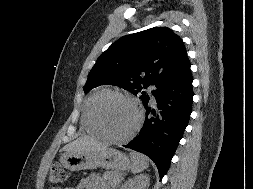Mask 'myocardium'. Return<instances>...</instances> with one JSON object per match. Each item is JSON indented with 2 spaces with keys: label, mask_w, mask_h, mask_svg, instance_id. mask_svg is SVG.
Segmentation results:
<instances>
[{
  "label": "myocardium",
  "mask_w": 253,
  "mask_h": 189,
  "mask_svg": "<svg viewBox=\"0 0 253 189\" xmlns=\"http://www.w3.org/2000/svg\"><path fill=\"white\" fill-rule=\"evenodd\" d=\"M109 98H118L123 101H126L129 104H131L137 112L136 124L134 125L132 130L124 136L112 135L111 133L108 132V130L105 128L103 122L101 121V118L99 115V107L103 101H105L106 99H109ZM91 115H92V120H93L95 126L100 131L102 136L108 140L115 141V142H126V141L132 139L138 133V131L141 129L142 124H143V120H144V113H143V110H142L141 106L139 105V103L135 99H133L132 97H130L126 94H123L121 92H117V91H108V92H105V93L99 95L95 99V101L93 102V105L91 108Z\"/></svg>",
  "instance_id": "f54148a6"
}]
</instances>
